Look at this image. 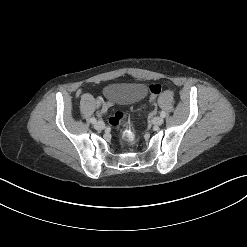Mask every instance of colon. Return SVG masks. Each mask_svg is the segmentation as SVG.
Segmentation results:
<instances>
[{
  "label": "colon",
  "mask_w": 247,
  "mask_h": 247,
  "mask_svg": "<svg viewBox=\"0 0 247 247\" xmlns=\"http://www.w3.org/2000/svg\"><path fill=\"white\" fill-rule=\"evenodd\" d=\"M161 85L160 84H150L149 85V92H150V102L151 104H154L157 96L160 94L161 92ZM108 122L110 125L114 126V127H118V126H125L127 129H129L131 132H133V127L125 122V117L124 114L122 112H116L113 115L109 116L107 118Z\"/></svg>",
  "instance_id": "5ec220e1"
}]
</instances>
